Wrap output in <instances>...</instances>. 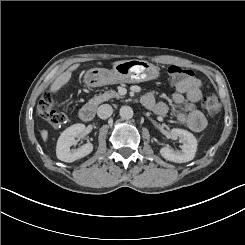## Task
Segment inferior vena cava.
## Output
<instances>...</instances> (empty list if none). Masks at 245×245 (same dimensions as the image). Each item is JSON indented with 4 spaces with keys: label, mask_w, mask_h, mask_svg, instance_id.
Wrapping results in <instances>:
<instances>
[{
    "label": "inferior vena cava",
    "mask_w": 245,
    "mask_h": 245,
    "mask_svg": "<svg viewBox=\"0 0 245 245\" xmlns=\"http://www.w3.org/2000/svg\"><path fill=\"white\" fill-rule=\"evenodd\" d=\"M113 113V108L109 104H102L97 109V115L100 119H108Z\"/></svg>",
    "instance_id": "602c4592"
}]
</instances>
